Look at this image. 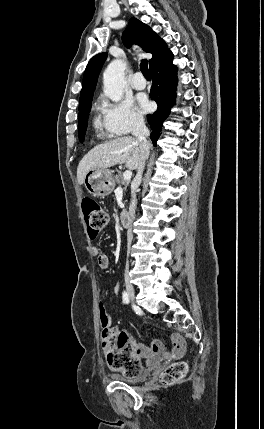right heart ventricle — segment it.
<instances>
[{"instance_id": "1", "label": "right heart ventricle", "mask_w": 264, "mask_h": 429, "mask_svg": "<svg viewBox=\"0 0 264 429\" xmlns=\"http://www.w3.org/2000/svg\"><path fill=\"white\" fill-rule=\"evenodd\" d=\"M94 125H95V127H96V129H97V135H98V137H101V138H108V137H111V136H113V135H111L105 128H104V126H103V122H101V120L97 117V118H95V120H94Z\"/></svg>"}]
</instances>
